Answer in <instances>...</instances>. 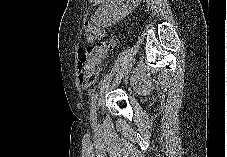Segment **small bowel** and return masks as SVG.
I'll list each match as a JSON object with an SVG mask.
<instances>
[{
  "label": "small bowel",
  "mask_w": 227,
  "mask_h": 157,
  "mask_svg": "<svg viewBox=\"0 0 227 157\" xmlns=\"http://www.w3.org/2000/svg\"><path fill=\"white\" fill-rule=\"evenodd\" d=\"M133 87L139 94H145L150 90V85L147 82H143L140 87L135 83Z\"/></svg>",
  "instance_id": "c3829d8e"
}]
</instances>
